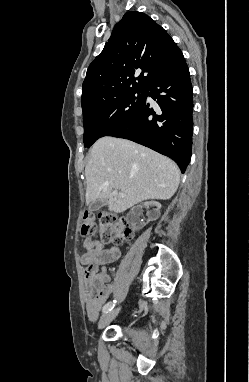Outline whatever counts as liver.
I'll use <instances>...</instances> for the list:
<instances>
[{
	"mask_svg": "<svg viewBox=\"0 0 249 382\" xmlns=\"http://www.w3.org/2000/svg\"><path fill=\"white\" fill-rule=\"evenodd\" d=\"M86 203L105 199L122 213L148 199L168 200L176 192L180 171L171 159L127 139L105 136L90 151L85 167ZM119 190L124 197L112 195Z\"/></svg>",
	"mask_w": 249,
	"mask_h": 382,
	"instance_id": "obj_1",
	"label": "liver"
}]
</instances>
